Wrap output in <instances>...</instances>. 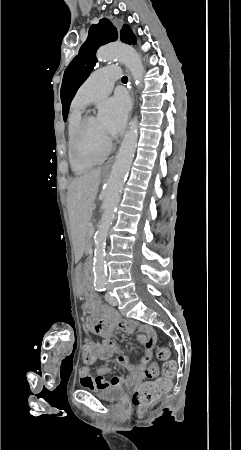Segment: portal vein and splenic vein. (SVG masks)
<instances>
[{
    "label": "portal vein and splenic vein",
    "instance_id": "18ae733b",
    "mask_svg": "<svg viewBox=\"0 0 241 450\" xmlns=\"http://www.w3.org/2000/svg\"><path fill=\"white\" fill-rule=\"evenodd\" d=\"M93 231H94V228H90V235H91V236H94Z\"/></svg>",
    "mask_w": 241,
    "mask_h": 450
}]
</instances>
